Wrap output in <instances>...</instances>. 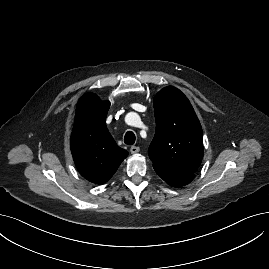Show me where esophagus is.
<instances>
[{
    "label": "esophagus",
    "mask_w": 269,
    "mask_h": 269,
    "mask_svg": "<svg viewBox=\"0 0 269 269\" xmlns=\"http://www.w3.org/2000/svg\"><path fill=\"white\" fill-rule=\"evenodd\" d=\"M140 151V148L138 147V146H132L131 148H130V152L132 153V154H136V153H138Z\"/></svg>",
    "instance_id": "1"
}]
</instances>
